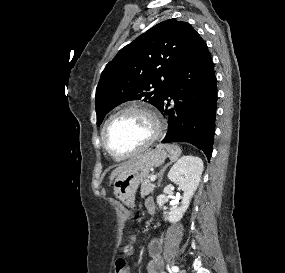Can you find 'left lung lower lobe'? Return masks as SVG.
<instances>
[{
  "mask_svg": "<svg viewBox=\"0 0 285 273\" xmlns=\"http://www.w3.org/2000/svg\"><path fill=\"white\" fill-rule=\"evenodd\" d=\"M168 97L174 100L172 108ZM217 88L214 66L205 41L194 31L158 109L168 119L163 143L188 142L208 160L212 153Z\"/></svg>",
  "mask_w": 285,
  "mask_h": 273,
  "instance_id": "left-lung-lower-lobe-1",
  "label": "left lung lower lobe"
}]
</instances>
